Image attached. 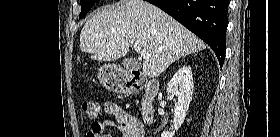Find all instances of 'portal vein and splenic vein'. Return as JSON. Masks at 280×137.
I'll return each instance as SVG.
<instances>
[{
  "instance_id": "obj_1",
  "label": "portal vein and splenic vein",
  "mask_w": 280,
  "mask_h": 137,
  "mask_svg": "<svg viewBox=\"0 0 280 137\" xmlns=\"http://www.w3.org/2000/svg\"><path fill=\"white\" fill-rule=\"evenodd\" d=\"M134 50L143 58L149 57V53L141 51V47L137 43L134 44Z\"/></svg>"
}]
</instances>
